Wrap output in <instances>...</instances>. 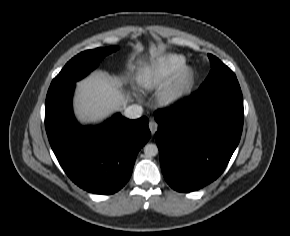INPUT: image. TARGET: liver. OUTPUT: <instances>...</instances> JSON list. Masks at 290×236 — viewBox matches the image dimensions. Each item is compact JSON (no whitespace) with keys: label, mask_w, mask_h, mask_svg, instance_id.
<instances>
[{"label":"liver","mask_w":290,"mask_h":236,"mask_svg":"<svg viewBox=\"0 0 290 236\" xmlns=\"http://www.w3.org/2000/svg\"><path fill=\"white\" fill-rule=\"evenodd\" d=\"M152 54H158L153 49ZM142 81V75L139 76ZM131 96L122 91V81L106 72L95 71L77 83L74 112L81 123H98L126 108Z\"/></svg>","instance_id":"1"}]
</instances>
